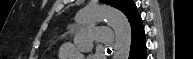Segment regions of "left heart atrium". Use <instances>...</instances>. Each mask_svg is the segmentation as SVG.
Segmentation results:
<instances>
[{
    "instance_id": "1",
    "label": "left heart atrium",
    "mask_w": 193,
    "mask_h": 59,
    "mask_svg": "<svg viewBox=\"0 0 193 59\" xmlns=\"http://www.w3.org/2000/svg\"><path fill=\"white\" fill-rule=\"evenodd\" d=\"M87 59H100L96 55H89Z\"/></svg>"
}]
</instances>
